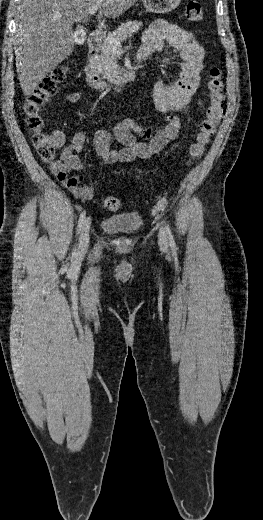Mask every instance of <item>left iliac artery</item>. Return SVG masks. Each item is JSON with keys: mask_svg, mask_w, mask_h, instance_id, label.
<instances>
[{"mask_svg": "<svg viewBox=\"0 0 263 520\" xmlns=\"http://www.w3.org/2000/svg\"><path fill=\"white\" fill-rule=\"evenodd\" d=\"M164 229H165L166 234H167V236H168V239H169L170 245H171L172 247H175V242H174V239H173V236H172V233H171V230H170L169 226L165 224V228H164Z\"/></svg>", "mask_w": 263, "mask_h": 520, "instance_id": "left-iliac-artery-1", "label": "left iliac artery"}]
</instances>
